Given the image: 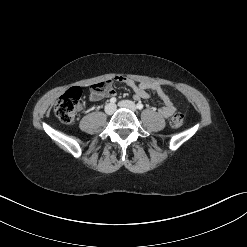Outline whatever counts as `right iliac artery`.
Masks as SVG:
<instances>
[{
    "instance_id": "right-iliac-artery-1",
    "label": "right iliac artery",
    "mask_w": 247,
    "mask_h": 247,
    "mask_svg": "<svg viewBox=\"0 0 247 247\" xmlns=\"http://www.w3.org/2000/svg\"><path fill=\"white\" fill-rule=\"evenodd\" d=\"M116 101H117V99H116L115 97H112V98L110 99V103H112V104L116 103Z\"/></svg>"
}]
</instances>
